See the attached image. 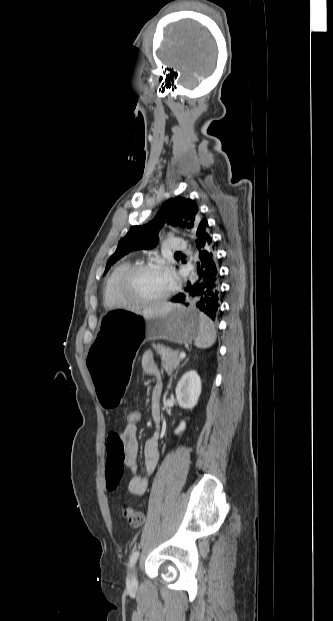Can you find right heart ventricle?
<instances>
[{
  "mask_svg": "<svg viewBox=\"0 0 333 621\" xmlns=\"http://www.w3.org/2000/svg\"><path fill=\"white\" fill-rule=\"evenodd\" d=\"M130 267L129 262H122L115 266L105 280L102 299L105 307H117L122 302L117 293V282L120 276Z\"/></svg>",
  "mask_w": 333,
  "mask_h": 621,
  "instance_id": "right-heart-ventricle-1",
  "label": "right heart ventricle"
}]
</instances>
